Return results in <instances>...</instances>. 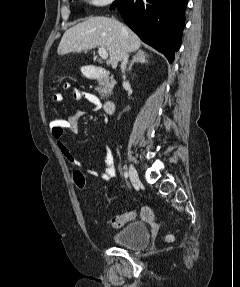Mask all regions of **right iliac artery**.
<instances>
[{
	"label": "right iliac artery",
	"instance_id": "82829eb1",
	"mask_svg": "<svg viewBox=\"0 0 240 287\" xmlns=\"http://www.w3.org/2000/svg\"><path fill=\"white\" fill-rule=\"evenodd\" d=\"M124 177L127 179L128 178V173L124 172Z\"/></svg>",
	"mask_w": 240,
	"mask_h": 287
}]
</instances>
